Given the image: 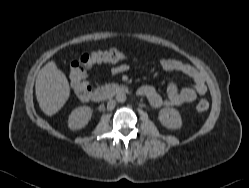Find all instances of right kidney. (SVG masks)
I'll return each instance as SVG.
<instances>
[{"label": "right kidney", "mask_w": 249, "mask_h": 188, "mask_svg": "<svg viewBox=\"0 0 249 188\" xmlns=\"http://www.w3.org/2000/svg\"><path fill=\"white\" fill-rule=\"evenodd\" d=\"M92 117V109L88 106L75 108L68 119V127L71 130L84 128Z\"/></svg>", "instance_id": "ca27d5eb"}]
</instances>
